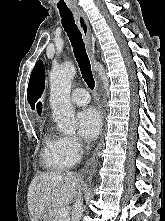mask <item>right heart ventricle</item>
I'll return each mask as SVG.
<instances>
[{
  "label": "right heart ventricle",
  "instance_id": "e07e8e85",
  "mask_svg": "<svg viewBox=\"0 0 165 221\" xmlns=\"http://www.w3.org/2000/svg\"><path fill=\"white\" fill-rule=\"evenodd\" d=\"M42 160L44 166L53 171L69 169L76 161L65 152L62 137L52 132L44 135Z\"/></svg>",
  "mask_w": 165,
  "mask_h": 221
}]
</instances>
